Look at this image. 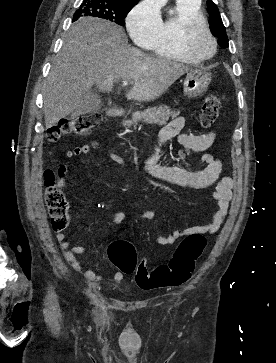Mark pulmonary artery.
<instances>
[{"instance_id":"pulmonary-artery-1","label":"pulmonary artery","mask_w":276,"mask_h":363,"mask_svg":"<svg viewBox=\"0 0 276 363\" xmlns=\"http://www.w3.org/2000/svg\"><path fill=\"white\" fill-rule=\"evenodd\" d=\"M186 1H197V0H186Z\"/></svg>"}]
</instances>
